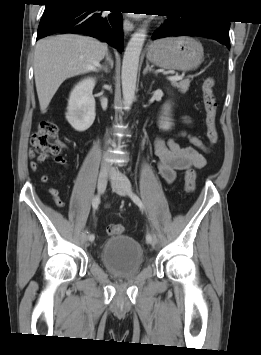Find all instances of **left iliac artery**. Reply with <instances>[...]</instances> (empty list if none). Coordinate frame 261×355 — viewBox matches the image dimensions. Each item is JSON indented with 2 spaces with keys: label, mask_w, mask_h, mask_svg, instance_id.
<instances>
[{
  "label": "left iliac artery",
  "mask_w": 261,
  "mask_h": 355,
  "mask_svg": "<svg viewBox=\"0 0 261 355\" xmlns=\"http://www.w3.org/2000/svg\"><path fill=\"white\" fill-rule=\"evenodd\" d=\"M129 195H130L131 199L133 200V202H134L135 204H137V205L140 207L141 210H144V205H143L142 201L140 200V198H139L136 194H134V193H132V192H130ZM153 237H154V236H153ZM153 237L148 233V234L146 235V241H147V243H151L152 240H153Z\"/></svg>",
  "instance_id": "left-iliac-artery-1"
}]
</instances>
